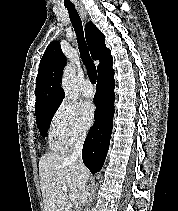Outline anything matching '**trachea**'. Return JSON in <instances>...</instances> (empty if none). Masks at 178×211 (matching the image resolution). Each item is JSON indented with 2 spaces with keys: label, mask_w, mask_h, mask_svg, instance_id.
I'll return each mask as SVG.
<instances>
[{
  "label": "trachea",
  "mask_w": 178,
  "mask_h": 211,
  "mask_svg": "<svg viewBox=\"0 0 178 211\" xmlns=\"http://www.w3.org/2000/svg\"><path fill=\"white\" fill-rule=\"evenodd\" d=\"M66 9L69 13L72 26L77 36V42L79 46L80 55L87 69L88 77L91 80V82L95 84L97 71L86 45L81 18L74 6H70V7L66 6Z\"/></svg>",
  "instance_id": "3493384b"
}]
</instances>
